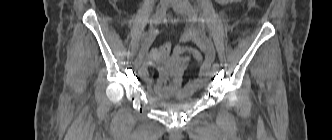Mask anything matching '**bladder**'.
Wrapping results in <instances>:
<instances>
[{
	"mask_svg": "<svg viewBox=\"0 0 332 140\" xmlns=\"http://www.w3.org/2000/svg\"><path fill=\"white\" fill-rule=\"evenodd\" d=\"M199 89L186 93L182 97H176L173 100L165 99V98L156 96L152 93L148 94V98L153 104H155L159 107H162L164 109L183 110V109H186L188 106H190L195 101V97H196V94Z\"/></svg>",
	"mask_w": 332,
	"mask_h": 140,
	"instance_id": "1",
	"label": "bladder"
}]
</instances>
